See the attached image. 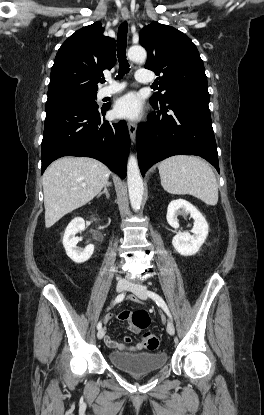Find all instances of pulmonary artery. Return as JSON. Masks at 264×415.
<instances>
[{"label": "pulmonary artery", "instance_id": "pulmonary-artery-1", "mask_svg": "<svg viewBox=\"0 0 264 415\" xmlns=\"http://www.w3.org/2000/svg\"><path fill=\"white\" fill-rule=\"evenodd\" d=\"M136 80L143 84H149L153 81V76L144 72H137ZM107 81L109 82V86L101 89L102 96L115 94L125 87L124 83H118L110 77L107 79Z\"/></svg>", "mask_w": 264, "mask_h": 415}]
</instances>
